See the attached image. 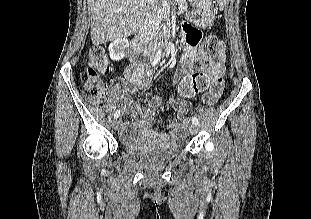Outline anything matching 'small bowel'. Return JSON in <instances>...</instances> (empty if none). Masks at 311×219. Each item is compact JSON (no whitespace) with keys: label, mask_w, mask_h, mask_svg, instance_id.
I'll use <instances>...</instances> for the list:
<instances>
[{"label":"small bowel","mask_w":311,"mask_h":219,"mask_svg":"<svg viewBox=\"0 0 311 219\" xmlns=\"http://www.w3.org/2000/svg\"><path fill=\"white\" fill-rule=\"evenodd\" d=\"M182 39L184 52L180 59V66L177 69L173 83L175 85L182 83L191 76L190 68L195 62L197 42L192 41L186 28ZM223 71L212 69L211 86L206 91L202 99L207 104L215 103L220 97L224 82ZM127 84L123 87L122 106L124 115L120 127V136L123 140L133 138H142L144 141L169 144L173 141L181 142L186 138V126L188 124L187 115L192 107L189 103L182 100L162 99L157 96H150L147 100L148 106L142 107L134 100L133 94L138 89L148 87L152 73L145 71L139 61L132 60V64L125 70ZM167 106L174 111L175 120L166 125L167 132H158L152 129V121L157 110Z\"/></svg>","instance_id":"c3829d8e"}]
</instances>
